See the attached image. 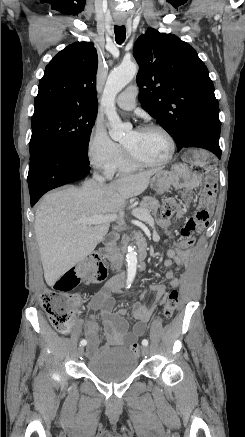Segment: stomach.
I'll list each match as a JSON object with an SVG mask.
<instances>
[{"label":"stomach","mask_w":245,"mask_h":437,"mask_svg":"<svg viewBox=\"0 0 245 437\" xmlns=\"http://www.w3.org/2000/svg\"><path fill=\"white\" fill-rule=\"evenodd\" d=\"M192 183L191 170L185 164L173 166L171 170H159L151 179V187L157 194L168 192L171 187L182 189Z\"/></svg>","instance_id":"0dacf381"}]
</instances>
